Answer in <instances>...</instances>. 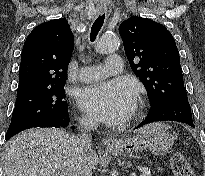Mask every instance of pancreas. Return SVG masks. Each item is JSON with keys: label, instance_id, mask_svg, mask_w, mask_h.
Listing matches in <instances>:
<instances>
[{"label": "pancreas", "instance_id": "1", "mask_svg": "<svg viewBox=\"0 0 205 176\" xmlns=\"http://www.w3.org/2000/svg\"><path fill=\"white\" fill-rule=\"evenodd\" d=\"M141 172H142L141 176H151V175L148 173V172H149V169H148V168L143 167V168L141 169Z\"/></svg>", "mask_w": 205, "mask_h": 176}]
</instances>
